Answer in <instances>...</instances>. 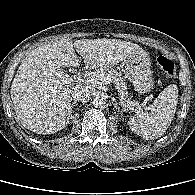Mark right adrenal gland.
<instances>
[{"mask_svg":"<svg viewBox=\"0 0 195 195\" xmlns=\"http://www.w3.org/2000/svg\"><path fill=\"white\" fill-rule=\"evenodd\" d=\"M77 104H71V110H72V108H74V106H76Z\"/></svg>","mask_w":195,"mask_h":195,"instance_id":"1","label":"right adrenal gland"}]
</instances>
